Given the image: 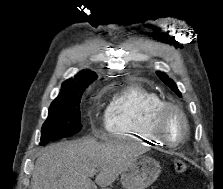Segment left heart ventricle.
Masks as SVG:
<instances>
[{"label":"left heart ventricle","mask_w":223,"mask_h":189,"mask_svg":"<svg viewBox=\"0 0 223 189\" xmlns=\"http://www.w3.org/2000/svg\"><path fill=\"white\" fill-rule=\"evenodd\" d=\"M184 131L182 119L175 112L167 115L164 121V134L170 141H177L181 138Z\"/></svg>","instance_id":"left-heart-ventricle-1"}]
</instances>
